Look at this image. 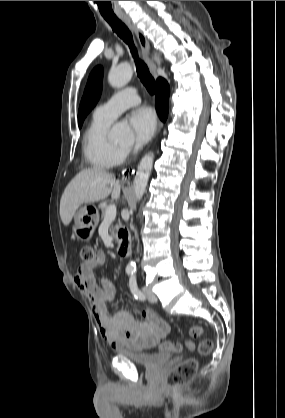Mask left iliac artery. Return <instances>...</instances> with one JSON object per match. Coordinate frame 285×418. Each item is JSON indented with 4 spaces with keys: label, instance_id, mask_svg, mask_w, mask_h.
Masks as SVG:
<instances>
[{
    "label": "left iliac artery",
    "instance_id": "left-iliac-artery-1",
    "mask_svg": "<svg viewBox=\"0 0 285 418\" xmlns=\"http://www.w3.org/2000/svg\"><path fill=\"white\" fill-rule=\"evenodd\" d=\"M129 287H130V290H131L132 294L134 295V297L136 299H139V300H144L145 299V296L143 295V293L138 288L135 274H132L131 277H130Z\"/></svg>",
    "mask_w": 285,
    "mask_h": 418
}]
</instances>
